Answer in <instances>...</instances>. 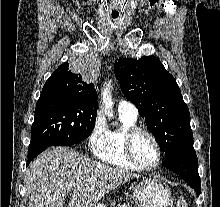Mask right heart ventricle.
<instances>
[{
	"instance_id": "1",
	"label": "right heart ventricle",
	"mask_w": 220,
	"mask_h": 207,
	"mask_svg": "<svg viewBox=\"0 0 220 207\" xmlns=\"http://www.w3.org/2000/svg\"><path fill=\"white\" fill-rule=\"evenodd\" d=\"M119 119L121 125L115 129H108L103 143L94 154L106 164L123 169L138 170L139 168L127 158L124 148L125 133L129 128L137 126V118L119 113Z\"/></svg>"
}]
</instances>
